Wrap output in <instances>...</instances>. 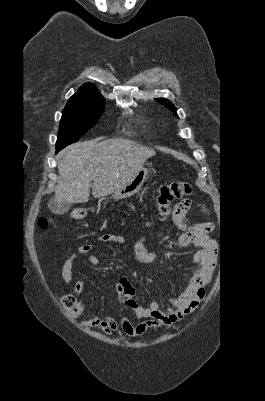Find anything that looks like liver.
<instances>
[{"label":"liver","mask_w":265,"mask_h":401,"mask_svg":"<svg viewBox=\"0 0 265 401\" xmlns=\"http://www.w3.org/2000/svg\"><path fill=\"white\" fill-rule=\"evenodd\" d=\"M102 138L66 146L57 162L60 180L55 188L56 203H87L91 180L93 196H107L131 180L146 158L156 154L154 148L127 138Z\"/></svg>","instance_id":"1"}]
</instances>
